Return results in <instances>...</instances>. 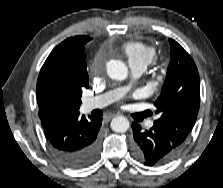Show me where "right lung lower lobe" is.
Instances as JSON below:
<instances>
[{
	"instance_id": "obj_1",
	"label": "right lung lower lobe",
	"mask_w": 223,
	"mask_h": 188,
	"mask_svg": "<svg viewBox=\"0 0 223 188\" xmlns=\"http://www.w3.org/2000/svg\"><path fill=\"white\" fill-rule=\"evenodd\" d=\"M102 118L79 116L54 118L42 121L51 152L64 165L83 168L99 156L98 132Z\"/></svg>"
}]
</instances>
